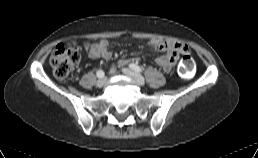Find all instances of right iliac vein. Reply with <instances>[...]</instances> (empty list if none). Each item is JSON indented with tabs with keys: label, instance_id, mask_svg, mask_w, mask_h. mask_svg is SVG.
<instances>
[{
	"label": "right iliac vein",
	"instance_id": "63e3f726",
	"mask_svg": "<svg viewBox=\"0 0 258 158\" xmlns=\"http://www.w3.org/2000/svg\"><path fill=\"white\" fill-rule=\"evenodd\" d=\"M106 83V79L105 78H100L98 81H97V87L101 88L105 85Z\"/></svg>",
	"mask_w": 258,
	"mask_h": 158
}]
</instances>
